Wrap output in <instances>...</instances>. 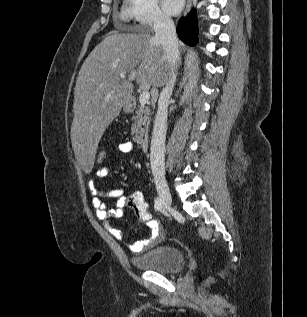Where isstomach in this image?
I'll list each match as a JSON object with an SVG mask.
<instances>
[{
    "instance_id": "1",
    "label": "stomach",
    "mask_w": 307,
    "mask_h": 317,
    "mask_svg": "<svg viewBox=\"0 0 307 317\" xmlns=\"http://www.w3.org/2000/svg\"><path fill=\"white\" fill-rule=\"evenodd\" d=\"M122 107H123L124 112H126V113L131 110L130 103L128 101L126 103H124V105Z\"/></svg>"
}]
</instances>
